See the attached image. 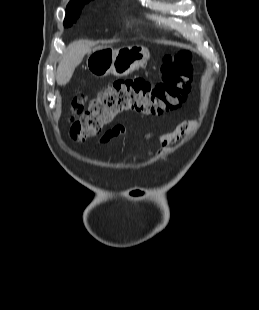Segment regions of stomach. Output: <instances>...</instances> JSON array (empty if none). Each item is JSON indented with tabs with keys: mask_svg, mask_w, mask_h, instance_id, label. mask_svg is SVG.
Wrapping results in <instances>:
<instances>
[{
	"mask_svg": "<svg viewBox=\"0 0 259 310\" xmlns=\"http://www.w3.org/2000/svg\"><path fill=\"white\" fill-rule=\"evenodd\" d=\"M149 50L141 45L125 46L119 49L98 47L89 53L87 68L94 75L105 77L110 74L116 77L127 76L147 63Z\"/></svg>",
	"mask_w": 259,
	"mask_h": 310,
	"instance_id": "obj_1",
	"label": "stomach"
}]
</instances>
